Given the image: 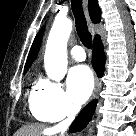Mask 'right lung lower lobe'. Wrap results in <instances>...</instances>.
Masks as SVG:
<instances>
[{"instance_id":"right-lung-lower-lobe-1","label":"right lung lower lobe","mask_w":136,"mask_h":136,"mask_svg":"<svg viewBox=\"0 0 136 136\" xmlns=\"http://www.w3.org/2000/svg\"><path fill=\"white\" fill-rule=\"evenodd\" d=\"M92 65L97 75L100 77L104 73L105 69V54L103 50V44L100 37L94 39V49L92 56ZM97 100L92 101L79 113L76 119L73 121L70 132H79L86 127L89 120L92 118L96 108Z\"/></svg>"}]
</instances>
